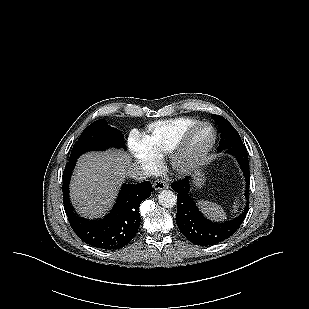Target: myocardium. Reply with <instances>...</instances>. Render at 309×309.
I'll use <instances>...</instances> for the list:
<instances>
[{"instance_id": "f54148a6", "label": "myocardium", "mask_w": 309, "mask_h": 309, "mask_svg": "<svg viewBox=\"0 0 309 309\" xmlns=\"http://www.w3.org/2000/svg\"><path fill=\"white\" fill-rule=\"evenodd\" d=\"M201 127L211 130L210 142L202 149L194 151L192 142L196 131ZM217 133L213 125L208 122L199 121L192 125L184 134L179 143L169 153V165L177 173H187L198 165L215 145Z\"/></svg>"}]
</instances>
